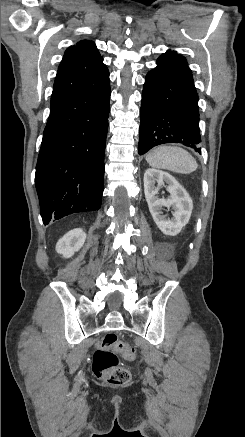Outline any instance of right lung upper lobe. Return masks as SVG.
I'll use <instances>...</instances> for the list:
<instances>
[{
	"instance_id": "1",
	"label": "right lung upper lobe",
	"mask_w": 245,
	"mask_h": 437,
	"mask_svg": "<svg viewBox=\"0 0 245 437\" xmlns=\"http://www.w3.org/2000/svg\"><path fill=\"white\" fill-rule=\"evenodd\" d=\"M93 41L81 40L64 53L58 67L51 101L87 92L109 77Z\"/></svg>"
}]
</instances>
